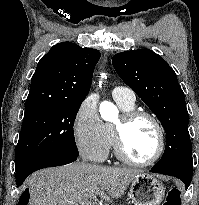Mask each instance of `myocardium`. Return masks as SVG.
<instances>
[{"instance_id": "myocardium-1", "label": "myocardium", "mask_w": 199, "mask_h": 205, "mask_svg": "<svg viewBox=\"0 0 199 205\" xmlns=\"http://www.w3.org/2000/svg\"><path fill=\"white\" fill-rule=\"evenodd\" d=\"M146 118L150 120L156 128L158 135V144L154 155L145 161H137L132 159L124 150L123 146V132L124 129L131 124L133 121ZM113 133V146L116 157L121 160L123 163L128 164L130 166L135 167H146L152 165L156 161H158L165 149L166 145V137L164 128L159 121V119L150 112L142 111V110H131L127 112H123L118 121L112 126Z\"/></svg>"}]
</instances>
